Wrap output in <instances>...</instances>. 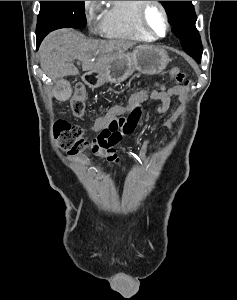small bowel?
Returning a JSON list of instances; mask_svg holds the SVG:
<instances>
[{
	"mask_svg": "<svg viewBox=\"0 0 237 300\" xmlns=\"http://www.w3.org/2000/svg\"><path fill=\"white\" fill-rule=\"evenodd\" d=\"M185 88L180 85H174L169 87L167 90H165L163 93H161L159 97L160 104L158 105V112L159 113H165L168 111L170 104H171V99L174 97L180 98L184 95ZM143 98V93L142 91L134 94L128 105L125 107H114L112 108L108 114L105 117L97 119L93 124H92V130L95 132H100L102 129L107 127L109 122L117 117L119 114L123 113L127 108H131L136 102L140 101ZM180 114L179 111L175 112L174 115L171 116V118L165 122V126L169 129H172L175 125L177 116ZM96 155L99 157L103 158L110 166H117L120 164L119 158L115 153V150L111 149L109 151H94ZM79 164L81 167H86L87 166V161L82 159L79 160Z\"/></svg>",
	"mask_w": 237,
	"mask_h": 300,
	"instance_id": "1",
	"label": "small bowel"
}]
</instances>
